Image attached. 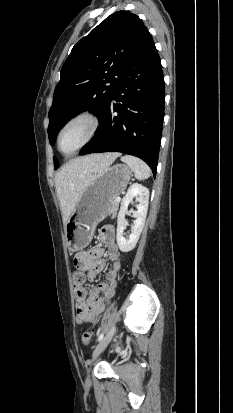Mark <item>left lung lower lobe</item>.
<instances>
[{
    "label": "left lung lower lobe",
    "mask_w": 233,
    "mask_h": 413,
    "mask_svg": "<svg viewBox=\"0 0 233 413\" xmlns=\"http://www.w3.org/2000/svg\"><path fill=\"white\" fill-rule=\"evenodd\" d=\"M164 76L157 49L147 31L124 67L101 115L97 135L81 155L121 152L144 160L156 176L164 118Z\"/></svg>",
    "instance_id": "obj_1"
}]
</instances>
